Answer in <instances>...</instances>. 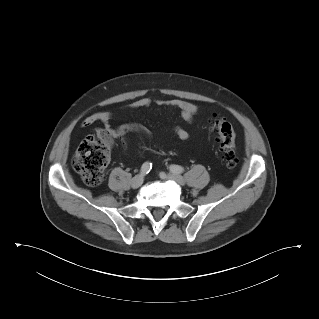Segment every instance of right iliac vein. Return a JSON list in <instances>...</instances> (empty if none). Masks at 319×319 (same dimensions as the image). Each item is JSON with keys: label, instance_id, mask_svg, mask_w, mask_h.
Segmentation results:
<instances>
[{"label": "right iliac vein", "instance_id": "right-iliac-vein-1", "mask_svg": "<svg viewBox=\"0 0 319 319\" xmlns=\"http://www.w3.org/2000/svg\"><path fill=\"white\" fill-rule=\"evenodd\" d=\"M143 181H144L143 175L135 176L131 181L132 188L134 189L139 188L143 184Z\"/></svg>", "mask_w": 319, "mask_h": 319}]
</instances>
